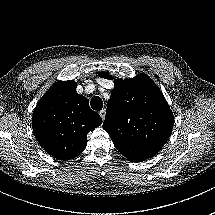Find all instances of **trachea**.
I'll return each mask as SVG.
<instances>
[{
    "mask_svg": "<svg viewBox=\"0 0 215 215\" xmlns=\"http://www.w3.org/2000/svg\"><path fill=\"white\" fill-rule=\"evenodd\" d=\"M91 107L93 110H101L103 108V101L99 96H95L91 99Z\"/></svg>",
    "mask_w": 215,
    "mask_h": 215,
    "instance_id": "1",
    "label": "trachea"
}]
</instances>
